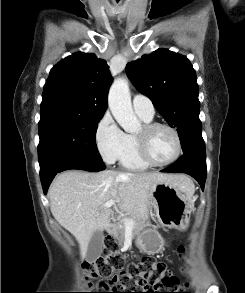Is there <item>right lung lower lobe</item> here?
I'll use <instances>...</instances> for the list:
<instances>
[{
  "instance_id": "98d812e1",
  "label": "right lung lower lobe",
  "mask_w": 245,
  "mask_h": 293,
  "mask_svg": "<svg viewBox=\"0 0 245 293\" xmlns=\"http://www.w3.org/2000/svg\"><path fill=\"white\" fill-rule=\"evenodd\" d=\"M105 168L106 167L103 161L100 160H93L90 158L82 157H67L61 159L52 164L46 172L40 174L44 194H46L51 181L59 172L69 169H80L85 171L97 172L102 171Z\"/></svg>"
}]
</instances>
